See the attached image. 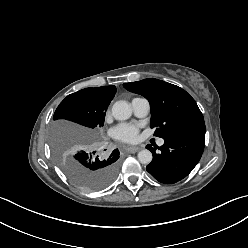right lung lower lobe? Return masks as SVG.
<instances>
[{
    "instance_id": "obj_1",
    "label": "right lung lower lobe",
    "mask_w": 248,
    "mask_h": 248,
    "mask_svg": "<svg viewBox=\"0 0 248 248\" xmlns=\"http://www.w3.org/2000/svg\"><path fill=\"white\" fill-rule=\"evenodd\" d=\"M114 151H115V152H117V153H118V155H119V151H118V149H115Z\"/></svg>"
}]
</instances>
